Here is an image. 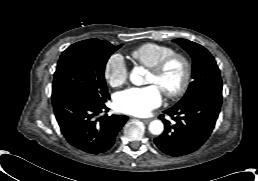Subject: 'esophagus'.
Wrapping results in <instances>:
<instances>
[{
  "instance_id": "1",
  "label": "esophagus",
  "mask_w": 258,
  "mask_h": 181,
  "mask_svg": "<svg viewBox=\"0 0 258 181\" xmlns=\"http://www.w3.org/2000/svg\"><path fill=\"white\" fill-rule=\"evenodd\" d=\"M152 119L148 118V119H142L141 121L145 124H148Z\"/></svg>"
}]
</instances>
